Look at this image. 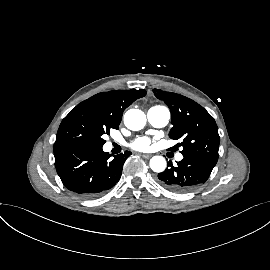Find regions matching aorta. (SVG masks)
Returning a JSON list of instances; mask_svg holds the SVG:
<instances>
[{"instance_id":"aorta-1","label":"aorta","mask_w":270,"mask_h":270,"mask_svg":"<svg viewBox=\"0 0 270 270\" xmlns=\"http://www.w3.org/2000/svg\"><path fill=\"white\" fill-rule=\"evenodd\" d=\"M124 124L130 130H141L146 124V115L139 109H130L124 114ZM150 168L158 173L164 171L166 168L165 158L162 156L152 157Z\"/></svg>"}]
</instances>
